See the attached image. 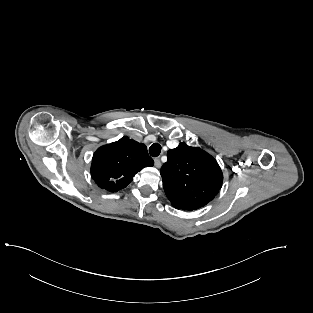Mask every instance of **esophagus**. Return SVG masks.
I'll return each instance as SVG.
<instances>
[{"instance_id":"1","label":"esophagus","mask_w":313,"mask_h":313,"mask_svg":"<svg viewBox=\"0 0 313 313\" xmlns=\"http://www.w3.org/2000/svg\"><path fill=\"white\" fill-rule=\"evenodd\" d=\"M154 163H155V166H156L157 168H160V167H161V161H160L159 158H155V159H154Z\"/></svg>"}]
</instances>
